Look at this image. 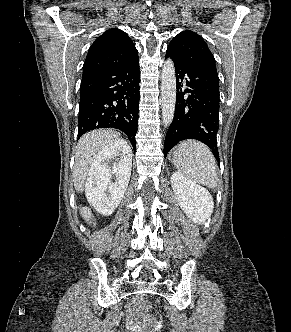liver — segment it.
Masks as SVG:
<instances>
[{
	"label": "liver",
	"instance_id": "obj_1",
	"mask_svg": "<svg viewBox=\"0 0 291 332\" xmlns=\"http://www.w3.org/2000/svg\"><path fill=\"white\" fill-rule=\"evenodd\" d=\"M114 141H121L119 133L112 130H94L83 135L75 150V163L73 169V182L77 192L84 190L85 180L89 168L98 153L108 144ZM130 154L132 153L129 147ZM82 218L89 222L92 219V212L89 208H81Z\"/></svg>",
	"mask_w": 291,
	"mask_h": 332
}]
</instances>
